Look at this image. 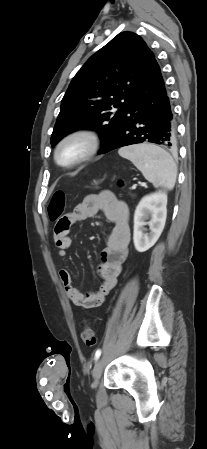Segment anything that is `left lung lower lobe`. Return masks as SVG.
<instances>
[{
    "label": "left lung lower lobe",
    "mask_w": 207,
    "mask_h": 449,
    "mask_svg": "<svg viewBox=\"0 0 207 449\" xmlns=\"http://www.w3.org/2000/svg\"><path fill=\"white\" fill-rule=\"evenodd\" d=\"M138 143H155L171 150L176 148L173 106L158 63L151 70L119 130L100 154Z\"/></svg>",
    "instance_id": "obj_1"
}]
</instances>
